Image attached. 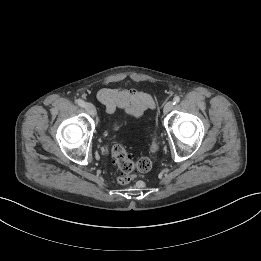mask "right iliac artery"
Returning a JSON list of instances; mask_svg holds the SVG:
<instances>
[{
  "mask_svg": "<svg viewBox=\"0 0 261 261\" xmlns=\"http://www.w3.org/2000/svg\"><path fill=\"white\" fill-rule=\"evenodd\" d=\"M77 104H78L80 107H84V106H85V102H84L82 99H78V100H77Z\"/></svg>",
  "mask_w": 261,
  "mask_h": 261,
  "instance_id": "1",
  "label": "right iliac artery"
}]
</instances>
